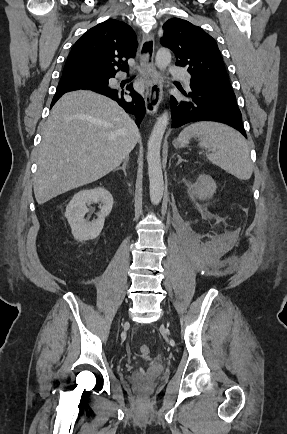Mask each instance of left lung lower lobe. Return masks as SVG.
<instances>
[{"label": "left lung lower lobe", "instance_id": "0a47b994", "mask_svg": "<svg viewBox=\"0 0 287 434\" xmlns=\"http://www.w3.org/2000/svg\"><path fill=\"white\" fill-rule=\"evenodd\" d=\"M190 87L192 91L187 95L189 101H179L171 97L172 128L209 120L225 123L246 137L234 93L223 92L193 81Z\"/></svg>", "mask_w": 287, "mask_h": 434}]
</instances>
